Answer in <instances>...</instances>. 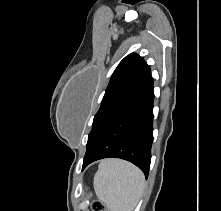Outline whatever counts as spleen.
<instances>
[{
    "label": "spleen",
    "mask_w": 221,
    "mask_h": 211,
    "mask_svg": "<svg viewBox=\"0 0 221 211\" xmlns=\"http://www.w3.org/2000/svg\"><path fill=\"white\" fill-rule=\"evenodd\" d=\"M145 185L139 168L119 159L102 160L94 176V190L110 211H133Z\"/></svg>",
    "instance_id": "obj_1"
}]
</instances>
